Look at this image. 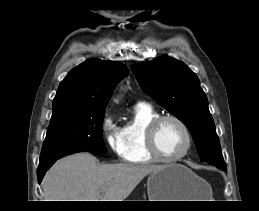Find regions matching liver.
Segmentation results:
<instances>
[{
    "instance_id": "obj_1",
    "label": "liver",
    "mask_w": 259,
    "mask_h": 211,
    "mask_svg": "<svg viewBox=\"0 0 259 211\" xmlns=\"http://www.w3.org/2000/svg\"><path fill=\"white\" fill-rule=\"evenodd\" d=\"M162 167L99 164L92 154L80 152L50 168L42 181L43 195L45 201H124L145 176Z\"/></svg>"
}]
</instances>
